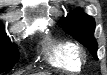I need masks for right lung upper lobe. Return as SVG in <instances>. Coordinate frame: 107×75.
<instances>
[{"label":"right lung upper lobe","mask_w":107,"mask_h":75,"mask_svg":"<svg viewBox=\"0 0 107 75\" xmlns=\"http://www.w3.org/2000/svg\"><path fill=\"white\" fill-rule=\"evenodd\" d=\"M1 27L3 28V25H2V24H0V28H1Z\"/></svg>","instance_id":"1"}]
</instances>
